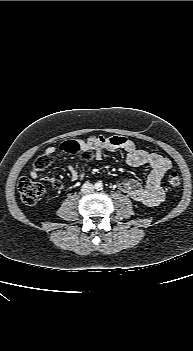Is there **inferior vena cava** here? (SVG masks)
Returning <instances> with one entry per match:
<instances>
[{
  "label": "inferior vena cava",
  "mask_w": 193,
  "mask_h": 351,
  "mask_svg": "<svg viewBox=\"0 0 193 351\" xmlns=\"http://www.w3.org/2000/svg\"><path fill=\"white\" fill-rule=\"evenodd\" d=\"M94 185L90 182H86L81 187V192L86 194L94 191Z\"/></svg>",
  "instance_id": "1"
}]
</instances>
